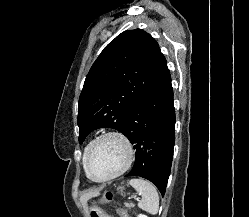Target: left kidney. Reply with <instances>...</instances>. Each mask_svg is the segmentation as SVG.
<instances>
[{"mask_svg":"<svg viewBox=\"0 0 249 217\" xmlns=\"http://www.w3.org/2000/svg\"><path fill=\"white\" fill-rule=\"evenodd\" d=\"M137 217H148V216H146L144 214H139Z\"/></svg>","mask_w":249,"mask_h":217,"instance_id":"left-kidney-1","label":"left kidney"}]
</instances>
